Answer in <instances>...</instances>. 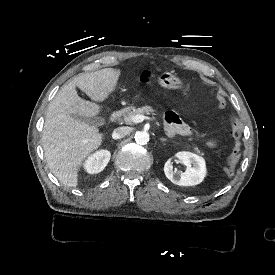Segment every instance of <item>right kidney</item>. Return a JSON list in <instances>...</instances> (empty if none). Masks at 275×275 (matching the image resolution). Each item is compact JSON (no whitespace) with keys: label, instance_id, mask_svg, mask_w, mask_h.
Masks as SVG:
<instances>
[{"label":"right kidney","instance_id":"right-kidney-1","mask_svg":"<svg viewBox=\"0 0 275 275\" xmlns=\"http://www.w3.org/2000/svg\"><path fill=\"white\" fill-rule=\"evenodd\" d=\"M111 154L109 151L102 150L93 155L87 162L88 173H98L102 171L109 162Z\"/></svg>","mask_w":275,"mask_h":275}]
</instances>
